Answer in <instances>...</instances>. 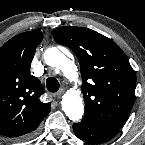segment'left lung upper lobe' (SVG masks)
Here are the masks:
<instances>
[{"mask_svg": "<svg viewBox=\"0 0 145 145\" xmlns=\"http://www.w3.org/2000/svg\"><path fill=\"white\" fill-rule=\"evenodd\" d=\"M53 37L79 60L84 118L119 130L135 99L136 75L127 56L111 39L88 28L60 27L53 31Z\"/></svg>", "mask_w": 145, "mask_h": 145, "instance_id": "1", "label": "left lung upper lobe"}]
</instances>
